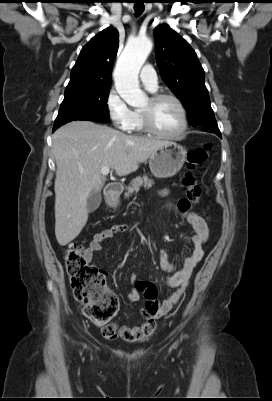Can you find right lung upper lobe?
<instances>
[{
	"label": "right lung upper lobe",
	"instance_id": "cb5924a9",
	"mask_svg": "<svg viewBox=\"0 0 272 401\" xmlns=\"http://www.w3.org/2000/svg\"><path fill=\"white\" fill-rule=\"evenodd\" d=\"M119 46L117 29L108 27L81 50L65 92L111 85V72Z\"/></svg>",
	"mask_w": 272,
	"mask_h": 401
}]
</instances>
